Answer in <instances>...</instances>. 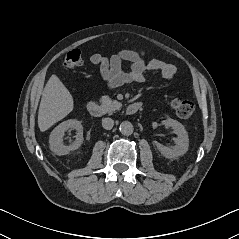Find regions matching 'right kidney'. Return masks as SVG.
<instances>
[{"instance_id": "right-kidney-1", "label": "right kidney", "mask_w": 239, "mask_h": 239, "mask_svg": "<svg viewBox=\"0 0 239 239\" xmlns=\"http://www.w3.org/2000/svg\"><path fill=\"white\" fill-rule=\"evenodd\" d=\"M76 130V140L70 145L63 143L64 133L68 130ZM83 142V126L80 121L70 119L60 123L50 134L49 144L50 149L57 155H65L72 150L78 149Z\"/></svg>"}]
</instances>
